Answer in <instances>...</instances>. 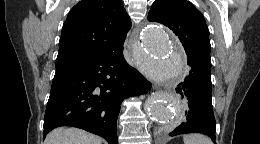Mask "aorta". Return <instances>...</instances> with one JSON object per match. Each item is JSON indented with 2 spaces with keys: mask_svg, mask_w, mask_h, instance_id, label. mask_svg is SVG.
I'll return each instance as SVG.
<instances>
[{
  "mask_svg": "<svg viewBox=\"0 0 260 144\" xmlns=\"http://www.w3.org/2000/svg\"><path fill=\"white\" fill-rule=\"evenodd\" d=\"M141 47L145 57L137 58L143 73L157 83L170 82L183 73L184 58L178 42L163 26L150 23L141 35ZM179 99L172 93L156 92L145 102L147 116L156 122L178 125L182 119Z\"/></svg>",
  "mask_w": 260,
  "mask_h": 144,
  "instance_id": "762f6f07",
  "label": "aorta"
}]
</instances>
